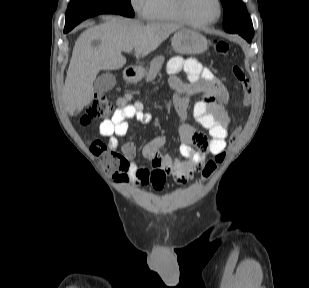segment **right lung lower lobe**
<instances>
[{
    "mask_svg": "<svg viewBox=\"0 0 309 288\" xmlns=\"http://www.w3.org/2000/svg\"><path fill=\"white\" fill-rule=\"evenodd\" d=\"M67 32H69V31L64 29V33H67Z\"/></svg>",
    "mask_w": 309,
    "mask_h": 288,
    "instance_id": "right-lung-lower-lobe-1",
    "label": "right lung lower lobe"
}]
</instances>
